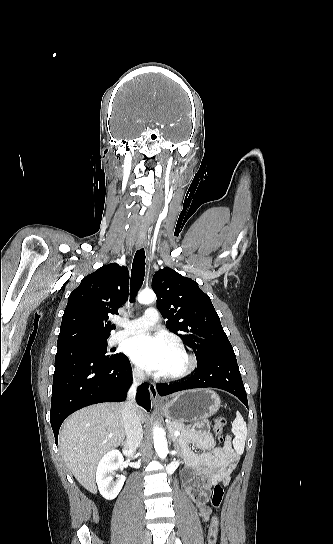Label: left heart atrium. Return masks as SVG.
Instances as JSON below:
<instances>
[{
    "label": "left heart atrium",
    "instance_id": "left-heart-atrium-1",
    "mask_svg": "<svg viewBox=\"0 0 333 544\" xmlns=\"http://www.w3.org/2000/svg\"><path fill=\"white\" fill-rule=\"evenodd\" d=\"M171 344L162 336L141 332L126 340L125 353L141 368L160 373Z\"/></svg>",
    "mask_w": 333,
    "mask_h": 544
}]
</instances>
